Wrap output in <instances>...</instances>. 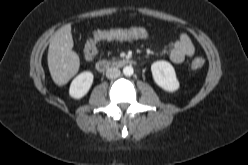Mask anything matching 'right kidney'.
I'll list each match as a JSON object with an SVG mask.
<instances>
[{
  "label": "right kidney",
  "instance_id": "obj_1",
  "mask_svg": "<svg viewBox=\"0 0 248 165\" xmlns=\"http://www.w3.org/2000/svg\"><path fill=\"white\" fill-rule=\"evenodd\" d=\"M93 79L94 76L90 71L80 73L73 79L70 85V96L75 99H80L85 96L93 83Z\"/></svg>",
  "mask_w": 248,
  "mask_h": 165
}]
</instances>
